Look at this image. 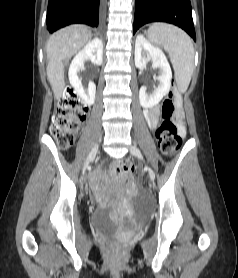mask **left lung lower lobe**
<instances>
[{
	"mask_svg": "<svg viewBox=\"0 0 238 278\" xmlns=\"http://www.w3.org/2000/svg\"><path fill=\"white\" fill-rule=\"evenodd\" d=\"M157 21L179 26L196 41L190 0H135L133 33Z\"/></svg>",
	"mask_w": 238,
	"mask_h": 278,
	"instance_id": "1",
	"label": "left lung lower lobe"
}]
</instances>
